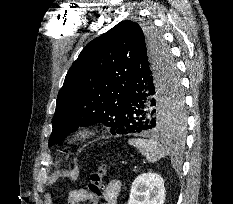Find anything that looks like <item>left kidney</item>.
<instances>
[{
  "label": "left kidney",
  "instance_id": "1",
  "mask_svg": "<svg viewBox=\"0 0 233 204\" xmlns=\"http://www.w3.org/2000/svg\"><path fill=\"white\" fill-rule=\"evenodd\" d=\"M163 178L156 173H143L133 181L128 204H164Z\"/></svg>",
  "mask_w": 233,
  "mask_h": 204
}]
</instances>
